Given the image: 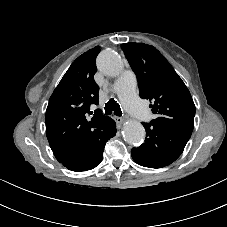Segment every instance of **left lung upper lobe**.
Segmentation results:
<instances>
[{
    "label": "left lung upper lobe",
    "mask_w": 227,
    "mask_h": 227,
    "mask_svg": "<svg viewBox=\"0 0 227 227\" xmlns=\"http://www.w3.org/2000/svg\"><path fill=\"white\" fill-rule=\"evenodd\" d=\"M125 56L138 80L140 97L149 99L156 115L152 124L191 137L195 105L191 94L166 58L153 46L122 44Z\"/></svg>",
    "instance_id": "obj_1"
}]
</instances>
